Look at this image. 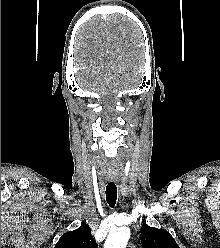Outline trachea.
<instances>
[{"mask_svg": "<svg viewBox=\"0 0 220 248\" xmlns=\"http://www.w3.org/2000/svg\"><path fill=\"white\" fill-rule=\"evenodd\" d=\"M106 200L110 207H114L117 200V187L113 183L106 186Z\"/></svg>", "mask_w": 220, "mask_h": 248, "instance_id": "trachea-1", "label": "trachea"}]
</instances>
